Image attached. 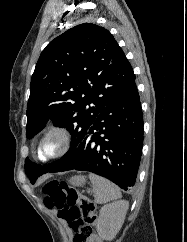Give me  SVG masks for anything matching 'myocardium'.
Returning <instances> with one entry per match:
<instances>
[{"label":"myocardium","mask_w":187,"mask_h":242,"mask_svg":"<svg viewBox=\"0 0 187 242\" xmlns=\"http://www.w3.org/2000/svg\"><path fill=\"white\" fill-rule=\"evenodd\" d=\"M51 136H56L60 140L59 150L52 155H45L42 151V145L46 139ZM72 143V138L69 130L62 126H53L49 128L40 138L37 144L38 156L43 160H52L64 156L70 149Z\"/></svg>","instance_id":"1"}]
</instances>
